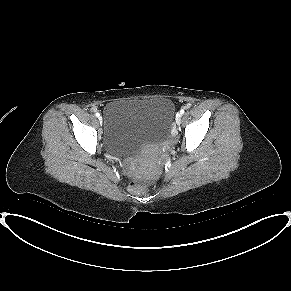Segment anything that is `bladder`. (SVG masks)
<instances>
[{
  "label": "bladder",
  "mask_w": 291,
  "mask_h": 291,
  "mask_svg": "<svg viewBox=\"0 0 291 291\" xmlns=\"http://www.w3.org/2000/svg\"><path fill=\"white\" fill-rule=\"evenodd\" d=\"M173 115L174 104L164 97L110 102L101 120L104 147L113 155H131L143 145L164 139Z\"/></svg>",
  "instance_id": "1"
}]
</instances>
